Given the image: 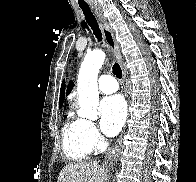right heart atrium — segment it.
I'll return each mask as SVG.
<instances>
[{"label": "right heart atrium", "mask_w": 196, "mask_h": 182, "mask_svg": "<svg viewBox=\"0 0 196 182\" xmlns=\"http://www.w3.org/2000/svg\"><path fill=\"white\" fill-rule=\"evenodd\" d=\"M84 136L91 150H98L102 147L103 138L93 122L84 120Z\"/></svg>", "instance_id": "obj_1"}]
</instances>
